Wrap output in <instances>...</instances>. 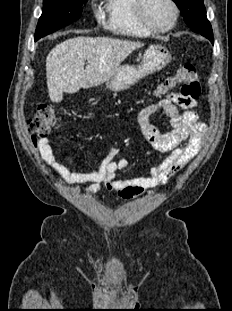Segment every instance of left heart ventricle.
Segmentation results:
<instances>
[{
  "label": "left heart ventricle",
  "mask_w": 232,
  "mask_h": 311,
  "mask_svg": "<svg viewBox=\"0 0 232 311\" xmlns=\"http://www.w3.org/2000/svg\"><path fill=\"white\" fill-rule=\"evenodd\" d=\"M145 15L152 25L166 27L172 22L173 9L167 0H147Z\"/></svg>",
  "instance_id": "obj_1"
}]
</instances>
